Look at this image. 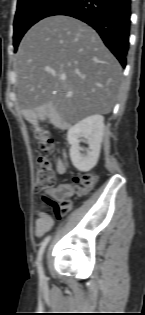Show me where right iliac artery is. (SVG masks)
Returning <instances> with one entry per match:
<instances>
[{"mask_svg":"<svg viewBox=\"0 0 145 315\" xmlns=\"http://www.w3.org/2000/svg\"><path fill=\"white\" fill-rule=\"evenodd\" d=\"M50 240V236L46 237L42 243H41V246H40V249L38 251V256H37V267H38V273H39V277H40V280H44L45 276H44V271H43V267H42V264H41V260H42V255L44 253V250L46 248V245L47 243L49 242Z\"/></svg>","mask_w":145,"mask_h":315,"instance_id":"82829eb1","label":"right iliac artery"}]
</instances>
